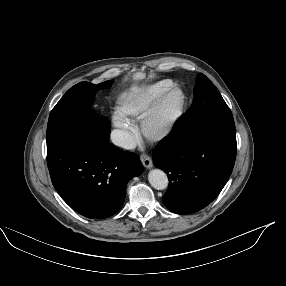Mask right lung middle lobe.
<instances>
[{"instance_id":"dd1d6c3e","label":"right lung middle lobe","mask_w":286,"mask_h":286,"mask_svg":"<svg viewBox=\"0 0 286 286\" xmlns=\"http://www.w3.org/2000/svg\"><path fill=\"white\" fill-rule=\"evenodd\" d=\"M112 81L94 85L80 82L70 88L52 109L47 126V146L78 132H91L109 140L111 126L108 120L97 119L90 111L94 93L109 88Z\"/></svg>"}]
</instances>
